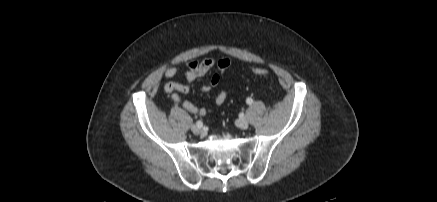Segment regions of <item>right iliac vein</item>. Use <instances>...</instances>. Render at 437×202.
<instances>
[{"label":"right iliac vein","instance_id":"1","mask_svg":"<svg viewBox=\"0 0 437 202\" xmlns=\"http://www.w3.org/2000/svg\"><path fill=\"white\" fill-rule=\"evenodd\" d=\"M191 129H192V132L196 135H200V134L204 133V129L202 127H198V126L193 125Z\"/></svg>","mask_w":437,"mask_h":202}]
</instances>
